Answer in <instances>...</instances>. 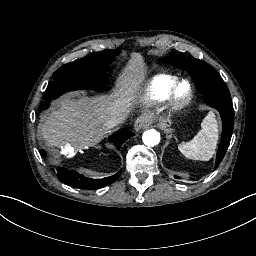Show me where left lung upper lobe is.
I'll use <instances>...</instances> for the list:
<instances>
[{
    "instance_id": "5c2ea615",
    "label": "left lung upper lobe",
    "mask_w": 256,
    "mask_h": 256,
    "mask_svg": "<svg viewBox=\"0 0 256 256\" xmlns=\"http://www.w3.org/2000/svg\"><path fill=\"white\" fill-rule=\"evenodd\" d=\"M166 60L178 68L185 69L195 79V85L203 94L204 101L220 112L223 128L216 157V168L223 160L233 132L234 109L229 91L216 71L201 60L191 57L184 58L181 55H173Z\"/></svg>"
}]
</instances>
